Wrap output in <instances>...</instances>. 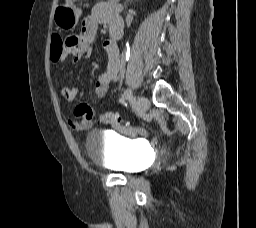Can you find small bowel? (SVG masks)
I'll use <instances>...</instances> for the list:
<instances>
[{
    "mask_svg": "<svg viewBox=\"0 0 256 228\" xmlns=\"http://www.w3.org/2000/svg\"><path fill=\"white\" fill-rule=\"evenodd\" d=\"M120 5L116 2L101 3L93 9L92 13L84 19L79 34L67 37L63 52L54 62H62L68 57H72L73 62L77 63L83 59H88L92 53V43L96 36L98 26L107 24L109 28L115 24H122L119 16ZM103 49L107 54V67L101 73L94 86V93L98 99L104 97L109 91L112 84L118 82L120 72V52L114 39L105 40ZM77 87L61 88L62 97L73 102L78 95ZM74 116L76 120L70 121V126L76 131H85L92 126L94 118L93 108L86 104L80 103L75 107ZM119 131L126 133L128 129L118 128Z\"/></svg>",
    "mask_w": 256,
    "mask_h": 228,
    "instance_id": "1",
    "label": "small bowel"
}]
</instances>
